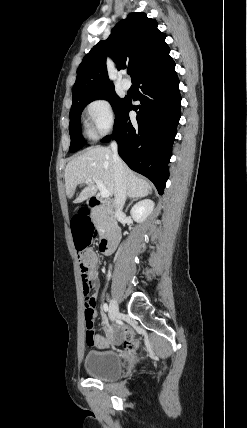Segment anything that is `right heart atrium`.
Wrapping results in <instances>:
<instances>
[{
  "instance_id": "right-heart-atrium-1",
  "label": "right heart atrium",
  "mask_w": 247,
  "mask_h": 428,
  "mask_svg": "<svg viewBox=\"0 0 247 428\" xmlns=\"http://www.w3.org/2000/svg\"><path fill=\"white\" fill-rule=\"evenodd\" d=\"M88 133L97 138L108 133L115 121L114 112L110 101L106 98H97L91 101L85 110Z\"/></svg>"
}]
</instances>
